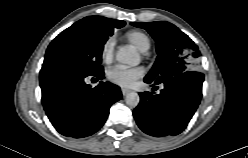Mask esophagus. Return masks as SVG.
<instances>
[{
  "label": "esophagus",
  "instance_id": "1",
  "mask_svg": "<svg viewBox=\"0 0 248 158\" xmlns=\"http://www.w3.org/2000/svg\"><path fill=\"white\" fill-rule=\"evenodd\" d=\"M121 92H122V94L125 96V95H127L128 93H130L131 90H130V89H127V88H121Z\"/></svg>",
  "mask_w": 248,
  "mask_h": 158
}]
</instances>
